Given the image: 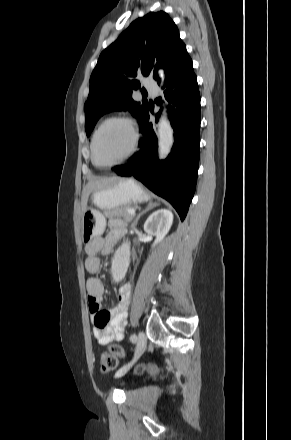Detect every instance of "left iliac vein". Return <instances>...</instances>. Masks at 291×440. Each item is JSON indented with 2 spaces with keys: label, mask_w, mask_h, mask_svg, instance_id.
Returning <instances> with one entry per match:
<instances>
[{
  "label": "left iliac vein",
  "mask_w": 291,
  "mask_h": 440,
  "mask_svg": "<svg viewBox=\"0 0 291 440\" xmlns=\"http://www.w3.org/2000/svg\"><path fill=\"white\" fill-rule=\"evenodd\" d=\"M145 348H146V336L142 331H140L138 333V338H137L135 359H137L145 351ZM130 366L131 364L118 370V372L116 373V377H120L124 375L129 370Z\"/></svg>",
  "instance_id": "1"
}]
</instances>
